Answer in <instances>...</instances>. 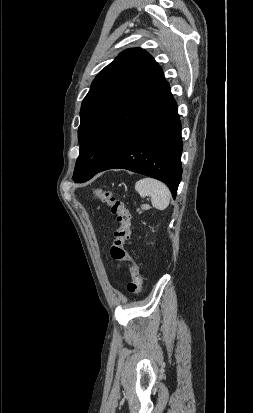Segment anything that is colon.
<instances>
[{"instance_id":"colon-1","label":"colon","mask_w":253,"mask_h":413,"mask_svg":"<svg viewBox=\"0 0 253 413\" xmlns=\"http://www.w3.org/2000/svg\"><path fill=\"white\" fill-rule=\"evenodd\" d=\"M96 198L109 206L118 228L114 232V240L110 246V257L114 261H121L128 264L131 273V282L127 288L130 293L139 294L142 290V276L139 266L129 256L125 249V244L128 242L131 233V215L125 204L115 198L110 192L98 188L93 189Z\"/></svg>"}]
</instances>
